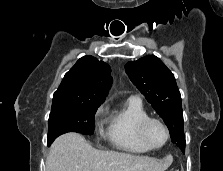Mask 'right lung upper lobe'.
Instances as JSON below:
<instances>
[{"instance_id": "right-lung-upper-lobe-1", "label": "right lung upper lobe", "mask_w": 223, "mask_h": 171, "mask_svg": "<svg viewBox=\"0 0 223 171\" xmlns=\"http://www.w3.org/2000/svg\"><path fill=\"white\" fill-rule=\"evenodd\" d=\"M111 68L92 56L80 58L67 72L53 102L75 100L103 103L112 84Z\"/></svg>"}]
</instances>
